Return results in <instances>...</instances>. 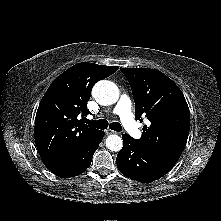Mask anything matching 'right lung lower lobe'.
Returning <instances> with one entry per match:
<instances>
[{
	"mask_svg": "<svg viewBox=\"0 0 221 221\" xmlns=\"http://www.w3.org/2000/svg\"><path fill=\"white\" fill-rule=\"evenodd\" d=\"M104 137V132L99 131L97 135L84 146L68 162L51 169L50 171L58 177H74L83 173L91 164L93 154Z\"/></svg>",
	"mask_w": 221,
	"mask_h": 221,
	"instance_id": "obj_1",
	"label": "right lung lower lobe"
}]
</instances>
